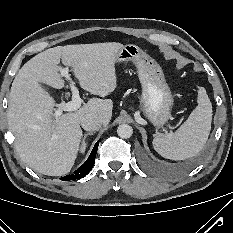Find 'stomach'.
<instances>
[{"instance_id":"obj_1","label":"stomach","mask_w":233,"mask_h":233,"mask_svg":"<svg viewBox=\"0 0 233 233\" xmlns=\"http://www.w3.org/2000/svg\"><path fill=\"white\" fill-rule=\"evenodd\" d=\"M133 62L142 86L139 109L156 127H162L171 117L173 96L160 65L134 44L123 45L116 63Z\"/></svg>"}]
</instances>
